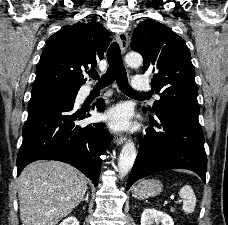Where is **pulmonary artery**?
<instances>
[{
  "label": "pulmonary artery",
  "mask_w": 228,
  "mask_h": 225,
  "mask_svg": "<svg viewBox=\"0 0 228 225\" xmlns=\"http://www.w3.org/2000/svg\"><path fill=\"white\" fill-rule=\"evenodd\" d=\"M136 80H147V75H136ZM150 86L147 85V81H135L133 85V90H149ZM92 90L91 86L86 88V92Z\"/></svg>",
  "instance_id": "pulmonary-artery-1"
}]
</instances>
